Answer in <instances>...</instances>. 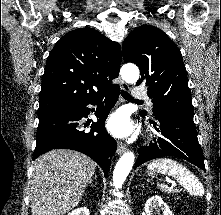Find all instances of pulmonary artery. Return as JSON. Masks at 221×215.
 Returning a JSON list of instances; mask_svg holds the SVG:
<instances>
[{"label": "pulmonary artery", "mask_w": 221, "mask_h": 215, "mask_svg": "<svg viewBox=\"0 0 221 215\" xmlns=\"http://www.w3.org/2000/svg\"><path fill=\"white\" fill-rule=\"evenodd\" d=\"M133 98L134 99H144V98H147V95H146V92L143 91L142 89L135 88L133 90ZM149 104H151V103L149 102Z\"/></svg>", "instance_id": "e3ab8cb5"}]
</instances>
